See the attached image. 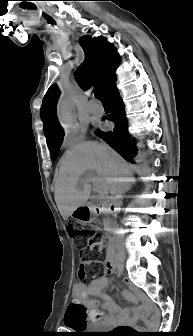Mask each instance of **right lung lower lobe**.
I'll return each instance as SVG.
<instances>
[{
    "mask_svg": "<svg viewBox=\"0 0 193 336\" xmlns=\"http://www.w3.org/2000/svg\"><path fill=\"white\" fill-rule=\"evenodd\" d=\"M107 101L112 105V112L107 117L115 122V128L110 132L98 131L97 134L112 148H114L124 159L133 163V158L137 154L135 142L127 131V121L124 112V104L113 80L104 93Z\"/></svg>",
    "mask_w": 193,
    "mask_h": 336,
    "instance_id": "right-lung-lower-lobe-1",
    "label": "right lung lower lobe"
}]
</instances>
